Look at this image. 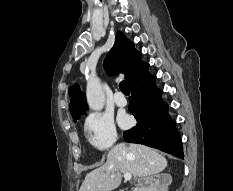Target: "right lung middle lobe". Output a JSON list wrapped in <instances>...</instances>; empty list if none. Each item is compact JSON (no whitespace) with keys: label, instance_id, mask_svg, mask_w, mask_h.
Returning a JSON list of instances; mask_svg holds the SVG:
<instances>
[{"label":"right lung middle lobe","instance_id":"dd1d6c3e","mask_svg":"<svg viewBox=\"0 0 233 191\" xmlns=\"http://www.w3.org/2000/svg\"><path fill=\"white\" fill-rule=\"evenodd\" d=\"M84 113H85V111H83V112H81V113H78V114H76V115H73L74 121L76 122V120L80 118V114H84Z\"/></svg>","mask_w":233,"mask_h":191}]
</instances>
